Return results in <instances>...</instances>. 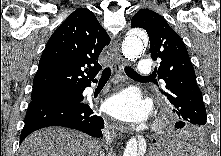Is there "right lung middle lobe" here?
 Instances as JSON below:
<instances>
[{
  "mask_svg": "<svg viewBox=\"0 0 221 156\" xmlns=\"http://www.w3.org/2000/svg\"><path fill=\"white\" fill-rule=\"evenodd\" d=\"M82 93H83L82 91H76V92L51 96L42 100L77 102L83 99Z\"/></svg>",
  "mask_w": 221,
  "mask_h": 156,
  "instance_id": "right-lung-middle-lobe-1",
  "label": "right lung middle lobe"
}]
</instances>
